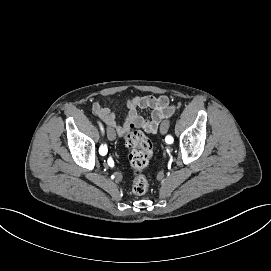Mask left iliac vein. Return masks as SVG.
I'll list each match as a JSON object with an SVG mask.
<instances>
[{"mask_svg":"<svg viewBox=\"0 0 271 271\" xmlns=\"http://www.w3.org/2000/svg\"><path fill=\"white\" fill-rule=\"evenodd\" d=\"M168 129H169V123H168V121L162 122L161 126H160V132L162 134H166L168 132Z\"/></svg>","mask_w":271,"mask_h":271,"instance_id":"1","label":"left iliac vein"}]
</instances>
